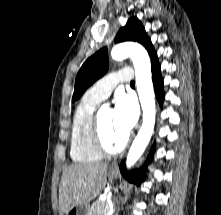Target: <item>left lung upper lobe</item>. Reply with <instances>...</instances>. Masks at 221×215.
Returning a JSON list of instances; mask_svg holds the SVG:
<instances>
[{
	"mask_svg": "<svg viewBox=\"0 0 221 215\" xmlns=\"http://www.w3.org/2000/svg\"><path fill=\"white\" fill-rule=\"evenodd\" d=\"M134 41L142 44L152 58L156 52L142 23L137 17H131L115 37V42ZM108 52L102 48L89 57L80 68L76 80L72 101L78 100L86 89L101 78L108 70Z\"/></svg>",
	"mask_w": 221,
	"mask_h": 215,
	"instance_id": "obj_1",
	"label": "left lung upper lobe"
}]
</instances>
